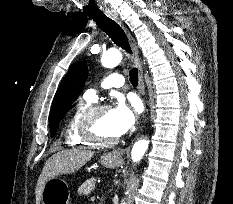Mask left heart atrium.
Segmentation results:
<instances>
[{"label": "left heart atrium", "instance_id": "1", "mask_svg": "<svg viewBox=\"0 0 233 204\" xmlns=\"http://www.w3.org/2000/svg\"><path fill=\"white\" fill-rule=\"evenodd\" d=\"M139 107L136 103L128 105L123 101L110 110L111 120L115 132L121 136L128 132L135 124Z\"/></svg>", "mask_w": 233, "mask_h": 204}]
</instances>
